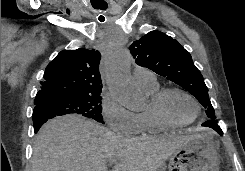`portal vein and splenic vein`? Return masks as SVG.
Instances as JSON below:
<instances>
[{
  "mask_svg": "<svg viewBox=\"0 0 245 171\" xmlns=\"http://www.w3.org/2000/svg\"><path fill=\"white\" fill-rule=\"evenodd\" d=\"M108 162H109V164L113 165V164H116L117 160L116 159H110Z\"/></svg>",
  "mask_w": 245,
  "mask_h": 171,
  "instance_id": "1",
  "label": "portal vein and splenic vein"
}]
</instances>
